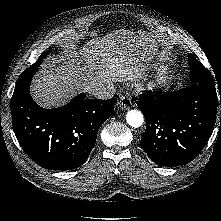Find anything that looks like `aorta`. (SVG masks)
Returning <instances> with one entry per match:
<instances>
[{
  "label": "aorta",
  "instance_id": "aorta-1",
  "mask_svg": "<svg viewBox=\"0 0 221 221\" xmlns=\"http://www.w3.org/2000/svg\"><path fill=\"white\" fill-rule=\"evenodd\" d=\"M126 121L131 127L138 128L143 124L144 117L140 111L133 109L127 112Z\"/></svg>",
  "mask_w": 221,
  "mask_h": 221
}]
</instances>
